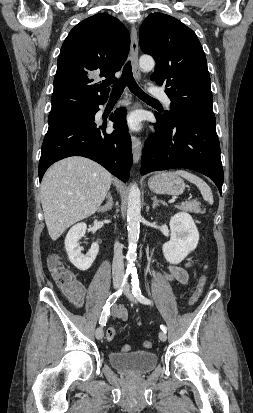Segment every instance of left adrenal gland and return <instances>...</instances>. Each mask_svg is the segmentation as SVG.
Returning a JSON list of instances; mask_svg holds the SVG:
<instances>
[{
    "mask_svg": "<svg viewBox=\"0 0 253 413\" xmlns=\"http://www.w3.org/2000/svg\"><path fill=\"white\" fill-rule=\"evenodd\" d=\"M152 200H153V204H152V208H153V209H155V208L159 205V203H160V204H163L164 206H167V203H166L165 201H163V200H158L156 196H153V197H152Z\"/></svg>",
    "mask_w": 253,
    "mask_h": 413,
    "instance_id": "1",
    "label": "left adrenal gland"
}]
</instances>
